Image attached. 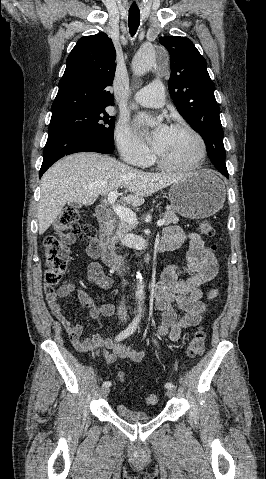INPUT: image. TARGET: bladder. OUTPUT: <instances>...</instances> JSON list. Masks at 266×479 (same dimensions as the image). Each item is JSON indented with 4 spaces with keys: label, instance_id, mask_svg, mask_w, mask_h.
I'll use <instances>...</instances> for the list:
<instances>
[{
    "label": "bladder",
    "instance_id": "bladder-1",
    "mask_svg": "<svg viewBox=\"0 0 266 479\" xmlns=\"http://www.w3.org/2000/svg\"><path fill=\"white\" fill-rule=\"evenodd\" d=\"M116 408L118 415L130 422H145L151 419V415L149 413L131 409L125 403H118Z\"/></svg>",
    "mask_w": 266,
    "mask_h": 479
}]
</instances>
